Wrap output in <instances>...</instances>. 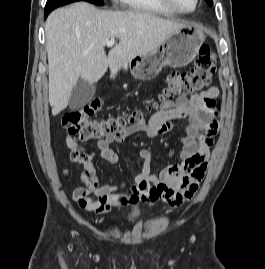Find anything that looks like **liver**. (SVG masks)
I'll return each mask as SVG.
<instances>
[{
    "label": "liver",
    "mask_w": 265,
    "mask_h": 269,
    "mask_svg": "<svg viewBox=\"0 0 265 269\" xmlns=\"http://www.w3.org/2000/svg\"><path fill=\"white\" fill-rule=\"evenodd\" d=\"M185 26L148 12L100 10L85 2L53 11L45 25L52 115L67 107L79 78L93 84L108 67L114 78L133 58ZM111 39L119 43L107 57L104 47Z\"/></svg>",
    "instance_id": "liver-1"
}]
</instances>
